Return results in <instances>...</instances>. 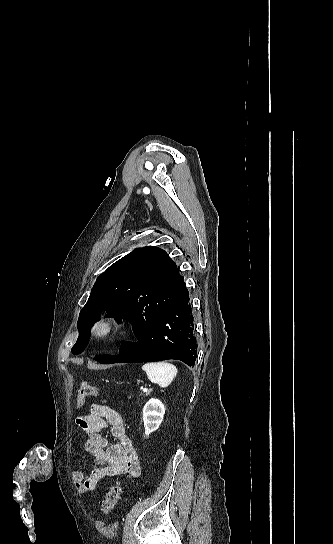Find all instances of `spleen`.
Wrapping results in <instances>:
<instances>
[{"mask_svg": "<svg viewBox=\"0 0 333 544\" xmlns=\"http://www.w3.org/2000/svg\"><path fill=\"white\" fill-rule=\"evenodd\" d=\"M142 370L146 372L148 379L165 388L171 384L177 375V368L168 362H148L142 366Z\"/></svg>", "mask_w": 333, "mask_h": 544, "instance_id": "obj_1", "label": "spleen"}]
</instances>
